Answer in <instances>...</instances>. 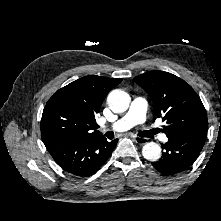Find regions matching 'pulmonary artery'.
Returning a JSON list of instances; mask_svg holds the SVG:
<instances>
[{
  "label": "pulmonary artery",
  "instance_id": "e3ab8cb5",
  "mask_svg": "<svg viewBox=\"0 0 221 221\" xmlns=\"http://www.w3.org/2000/svg\"><path fill=\"white\" fill-rule=\"evenodd\" d=\"M147 101L144 98L136 97L131 102L130 108L127 113L118 119L111 128L114 131H126L133 126L143 123L146 120ZM161 140L166 142L167 137L161 136Z\"/></svg>",
  "mask_w": 221,
  "mask_h": 221
}]
</instances>
